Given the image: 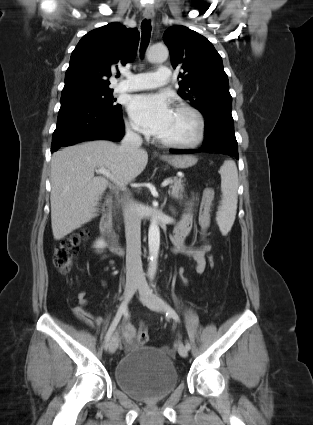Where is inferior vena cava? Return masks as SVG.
<instances>
[{
  "label": "inferior vena cava",
  "instance_id": "602c4592",
  "mask_svg": "<svg viewBox=\"0 0 313 425\" xmlns=\"http://www.w3.org/2000/svg\"><path fill=\"white\" fill-rule=\"evenodd\" d=\"M142 145L139 134L127 127L125 136L121 141L120 150L129 154L136 153ZM125 236H126V282L144 283L145 276L141 261V219L137 204L129 202L123 210Z\"/></svg>",
  "mask_w": 313,
  "mask_h": 425
}]
</instances>
